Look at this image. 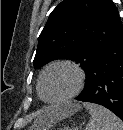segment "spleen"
Listing matches in <instances>:
<instances>
[{
    "label": "spleen",
    "instance_id": "1",
    "mask_svg": "<svg viewBox=\"0 0 123 130\" xmlns=\"http://www.w3.org/2000/svg\"><path fill=\"white\" fill-rule=\"evenodd\" d=\"M90 114V120L85 130H123V122L103 106L84 103Z\"/></svg>",
    "mask_w": 123,
    "mask_h": 130
}]
</instances>
